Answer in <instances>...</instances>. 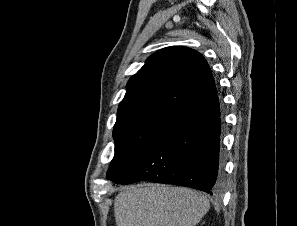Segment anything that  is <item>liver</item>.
<instances>
[{
  "label": "liver",
  "mask_w": 297,
  "mask_h": 226,
  "mask_svg": "<svg viewBox=\"0 0 297 226\" xmlns=\"http://www.w3.org/2000/svg\"><path fill=\"white\" fill-rule=\"evenodd\" d=\"M210 207L206 196L183 187L139 184L114 201L117 226H196Z\"/></svg>",
  "instance_id": "liver-1"
}]
</instances>
